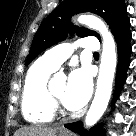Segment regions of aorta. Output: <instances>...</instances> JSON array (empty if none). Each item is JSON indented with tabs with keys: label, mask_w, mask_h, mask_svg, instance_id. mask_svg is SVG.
<instances>
[{
	"label": "aorta",
	"mask_w": 136,
	"mask_h": 136,
	"mask_svg": "<svg viewBox=\"0 0 136 136\" xmlns=\"http://www.w3.org/2000/svg\"><path fill=\"white\" fill-rule=\"evenodd\" d=\"M77 21L98 31L102 37L103 44L96 93L85 117V124L90 127L101 118L110 100L117 63L116 45L107 25L100 18L93 15H80ZM57 79L64 81L65 77L63 75H55L54 80Z\"/></svg>",
	"instance_id": "1"
}]
</instances>
